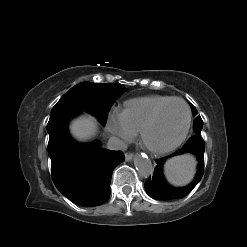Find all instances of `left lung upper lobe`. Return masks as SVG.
Segmentation results:
<instances>
[{
    "instance_id": "left-lung-upper-lobe-1",
    "label": "left lung upper lobe",
    "mask_w": 247,
    "mask_h": 247,
    "mask_svg": "<svg viewBox=\"0 0 247 247\" xmlns=\"http://www.w3.org/2000/svg\"><path fill=\"white\" fill-rule=\"evenodd\" d=\"M191 108H192V111H193V115L196 116L197 113H198L196 108L192 104H191ZM193 128H194V131H195V135L201 136V130L203 128V121H202L200 116H197L195 118L194 123H193Z\"/></svg>"
}]
</instances>
